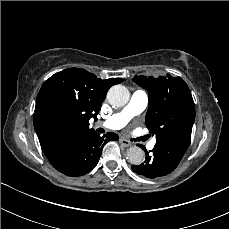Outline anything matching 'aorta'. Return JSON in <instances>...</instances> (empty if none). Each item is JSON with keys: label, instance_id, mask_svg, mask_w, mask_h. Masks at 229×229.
I'll use <instances>...</instances> for the list:
<instances>
[{"label": "aorta", "instance_id": "762f6f07", "mask_svg": "<svg viewBox=\"0 0 229 229\" xmlns=\"http://www.w3.org/2000/svg\"><path fill=\"white\" fill-rule=\"evenodd\" d=\"M130 99L129 90L123 85L112 86L107 93V100L113 107H123ZM127 160L133 165H140L144 161V151L138 146H132L127 150Z\"/></svg>", "mask_w": 229, "mask_h": 229}]
</instances>
